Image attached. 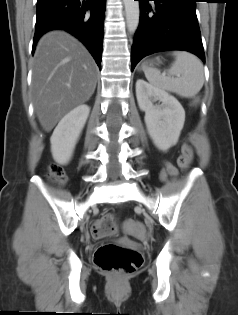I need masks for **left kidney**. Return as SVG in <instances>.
I'll return each mask as SVG.
<instances>
[{"mask_svg": "<svg viewBox=\"0 0 238 315\" xmlns=\"http://www.w3.org/2000/svg\"><path fill=\"white\" fill-rule=\"evenodd\" d=\"M136 97L139 108L145 112V123L154 144L167 151L179 139L184 126L185 111L179 101L167 92L158 89L143 79L136 82ZM159 101L161 104H154Z\"/></svg>", "mask_w": 238, "mask_h": 315, "instance_id": "left-kidney-1", "label": "left kidney"}]
</instances>
